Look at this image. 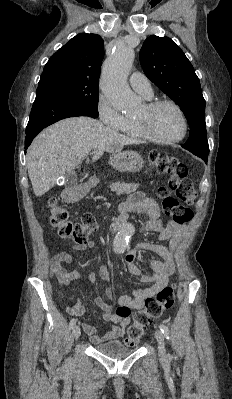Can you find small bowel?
Returning a JSON list of instances; mask_svg holds the SVG:
<instances>
[{"instance_id":"1","label":"small bowel","mask_w":232,"mask_h":399,"mask_svg":"<svg viewBox=\"0 0 232 399\" xmlns=\"http://www.w3.org/2000/svg\"><path fill=\"white\" fill-rule=\"evenodd\" d=\"M128 206L132 210H140L147 215V220L141 227L142 232L159 231V236L156 240L140 242L137 247L127 250L124 255L129 272L138 277L140 283H152V285L137 290L133 297L121 295L115 312H112L110 304L103 299L98 298L95 300V305L101 312V320L107 323H114L105 334H100L96 327L85 321H81L78 324L79 329L90 336L91 344L95 346L105 343L117 345L119 343V335L123 334L129 326L131 310L143 308L148 298L155 296L169 284L176 268L175 249L181 244L185 232L184 226L162 225L158 219L160 208L158 200L148 197L142 192L132 193L128 199ZM166 240L171 242V249H167L161 244V242ZM93 247L92 242H77L72 245L74 250H91ZM140 249L155 252L163 259L162 261L155 260L152 262V273H142L140 267L135 263ZM102 258L101 252L94 251L79 262L77 269L67 271L63 265L72 262V254L66 250L60 251L52 257L48 274L50 277L56 278L60 289L70 285L78 278H87L92 284H97L98 277L93 273H88L86 270L93 263L100 262ZM99 276L103 282L110 283L111 274L105 266L100 267ZM106 294L108 298L113 296L111 289H108ZM65 309L72 316H82L86 312L81 297H78L76 303L66 305Z\"/></svg>"}]
</instances>
